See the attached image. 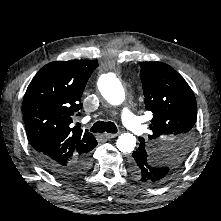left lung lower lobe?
<instances>
[{
  "mask_svg": "<svg viewBox=\"0 0 221 221\" xmlns=\"http://www.w3.org/2000/svg\"><path fill=\"white\" fill-rule=\"evenodd\" d=\"M131 174L139 181L147 184L157 179L163 172L156 168L147 153L145 145L140 144L139 148L132 153L129 161Z\"/></svg>",
  "mask_w": 221,
  "mask_h": 221,
  "instance_id": "left-lung-lower-lobe-1",
  "label": "left lung lower lobe"
}]
</instances>
